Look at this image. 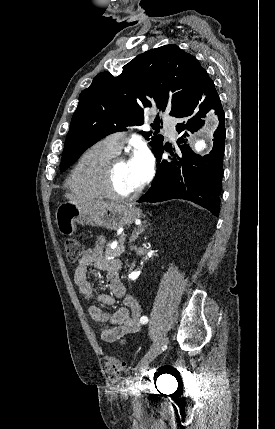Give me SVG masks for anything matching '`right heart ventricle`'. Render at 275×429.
<instances>
[{
  "label": "right heart ventricle",
  "instance_id": "obj_1",
  "mask_svg": "<svg viewBox=\"0 0 275 429\" xmlns=\"http://www.w3.org/2000/svg\"><path fill=\"white\" fill-rule=\"evenodd\" d=\"M116 152L98 142L89 147L73 167L67 184L75 194L87 199H103V174L106 163Z\"/></svg>",
  "mask_w": 275,
  "mask_h": 429
}]
</instances>
